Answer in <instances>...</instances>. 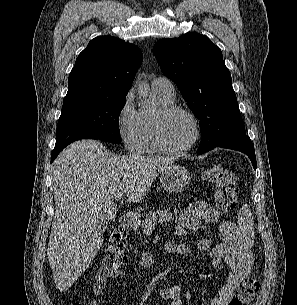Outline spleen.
Segmentation results:
<instances>
[{
    "label": "spleen",
    "mask_w": 297,
    "mask_h": 305,
    "mask_svg": "<svg viewBox=\"0 0 297 305\" xmlns=\"http://www.w3.org/2000/svg\"><path fill=\"white\" fill-rule=\"evenodd\" d=\"M239 232L245 237L254 236L253 218L250 206L245 204L238 213Z\"/></svg>",
    "instance_id": "3e777b00"
}]
</instances>
